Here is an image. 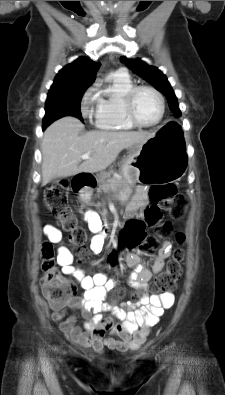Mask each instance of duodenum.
I'll return each mask as SVG.
<instances>
[{"instance_id": "1", "label": "duodenum", "mask_w": 225, "mask_h": 395, "mask_svg": "<svg viewBox=\"0 0 225 395\" xmlns=\"http://www.w3.org/2000/svg\"><path fill=\"white\" fill-rule=\"evenodd\" d=\"M74 185L76 190L88 189L93 186V179L87 174H78L75 176Z\"/></svg>"}]
</instances>
